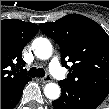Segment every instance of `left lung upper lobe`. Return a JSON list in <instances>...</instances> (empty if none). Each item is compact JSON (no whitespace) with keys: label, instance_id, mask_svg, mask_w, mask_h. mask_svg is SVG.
<instances>
[{"label":"left lung upper lobe","instance_id":"5c2ea615","mask_svg":"<svg viewBox=\"0 0 109 109\" xmlns=\"http://www.w3.org/2000/svg\"><path fill=\"white\" fill-rule=\"evenodd\" d=\"M44 34L60 46L61 63L69 68L65 81L107 96L109 93V36L95 21L69 14L41 23ZM67 61L72 66H67Z\"/></svg>","mask_w":109,"mask_h":109}]
</instances>
